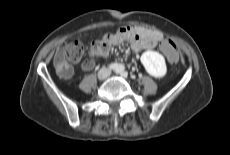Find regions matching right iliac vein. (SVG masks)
<instances>
[{
    "mask_svg": "<svg viewBox=\"0 0 230 155\" xmlns=\"http://www.w3.org/2000/svg\"><path fill=\"white\" fill-rule=\"evenodd\" d=\"M104 77L103 75H99V78Z\"/></svg>",
    "mask_w": 230,
    "mask_h": 155,
    "instance_id": "1",
    "label": "right iliac vein"
}]
</instances>
